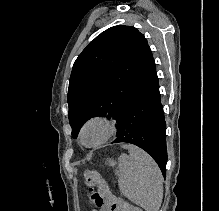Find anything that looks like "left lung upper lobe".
Here are the masks:
<instances>
[{"instance_id": "1", "label": "left lung upper lobe", "mask_w": 219, "mask_h": 211, "mask_svg": "<svg viewBox=\"0 0 219 211\" xmlns=\"http://www.w3.org/2000/svg\"><path fill=\"white\" fill-rule=\"evenodd\" d=\"M155 72L147 40L136 28L113 26L98 35L76 59L69 80L73 138L92 117H113L118 124L131 99Z\"/></svg>"}]
</instances>
